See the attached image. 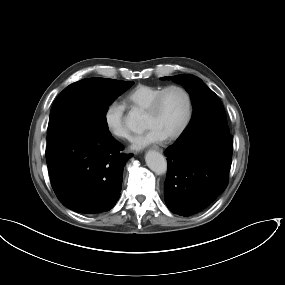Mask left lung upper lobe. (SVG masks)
Here are the masks:
<instances>
[{"mask_svg":"<svg viewBox=\"0 0 285 285\" xmlns=\"http://www.w3.org/2000/svg\"><path fill=\"white\" fill-rule=\"evenodd\" d=\"M172 80L186 88L194 106L191 121L177 142L201 133H230L221 100L200 78L191 74H182L174 76Z\"/></svg>","mask_w":285,"mask_h":285,"instance_id":"left-lung-upper-lobe-1","label":"left lung upper lobe"}]
</instances>
